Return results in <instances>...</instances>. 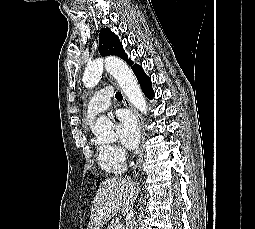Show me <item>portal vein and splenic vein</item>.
Wrapping results in <instances>:
<instances>
[{
	"label": "portal vein and splenic vein",
	"instance_id": "obj_1",
	"mask_svg": "<svg viewBox=\"0 0 255 229\" xmlns=\"http://www.w3.org/2000/svg\"><path fill=\"white\" fill-rule=\"evenodd\" d=\"M115 229H122V225H121L120 223H117V224L115 225Z\"/></svg>",
	"mask_w": 255,
	"mask_h": 229
}]
</instances>
